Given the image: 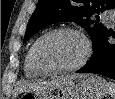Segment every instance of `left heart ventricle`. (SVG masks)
<instances>
[{"mask_svg":"<svg viewBox=\"0 0 115 99\" xmlns=\"http://www.w3.org/2000/svg\"><path fill=\"white\" fill-rule=\"evenodd\" d=\"M84 53L82 40L70 33H59L46 38L39 46L41 62L49 68L75 64Z\"/></svg>","mask_w":115,"mask_h":99,"instance_id":"left-heart-ventricle-1","label":"left heart ventricle"}]
</instances>
